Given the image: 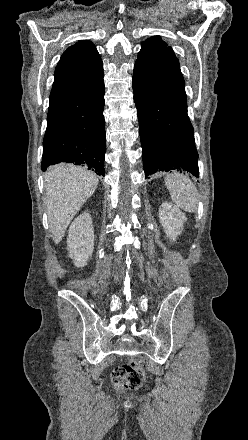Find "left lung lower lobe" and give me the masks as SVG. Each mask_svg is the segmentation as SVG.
Listing matches in <instances>:
<instances>
[{
  "instance_id": "0a47b994",
  "label": "left lung lower lobe",
  "mask_w": 248,
  "mask_h": 440,
  "mask_svg": "<svg viewBox=\"0 0 248 440\" xmlns=\"http://www.w3.org/2000/svg\"><path fill=\"white\" fill-rule=\"evenodd\" d=\"M132 86L145 176L179 169L199 177L198 153L187 104L144 82L135 73Z\"/></svg>"
}]
</instances>
